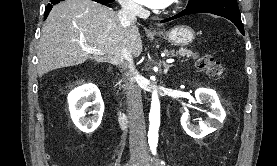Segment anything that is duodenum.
<instances>
[{"label": "duodenum", "mask_w": 277, "mask_h": 166, "mask_svg": "<svg viewBox=\"0 0 277 166\" xmlns=\"http://www.w3.org/2000/svg\"><path fill=\"white\" fill-rule=\"evenodd\" d=\"M116 115H117V120L119 122L120 127L123 129L127 128L129 125L128 116L121 111H117Z\"/></svg>", "instance_id": "1"}]
</instances>
